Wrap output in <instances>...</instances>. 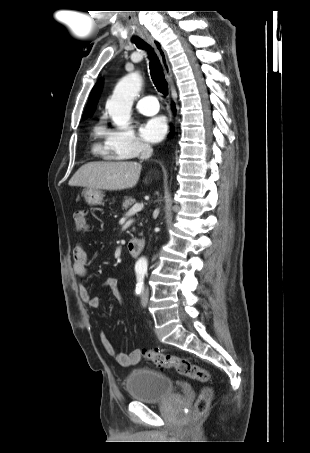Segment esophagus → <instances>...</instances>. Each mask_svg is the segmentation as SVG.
I'll return each instance as SVG.
<instances>
[{
    "instance_id": "34e87169",
    "label": "esophagus",
    "mask_w": 310,
    "mask_h": 453,
    "mask_svg": "<svg viewBox=\"0 0 310 453\" xmlns=\"http://www.w3.org/2000/svg\"><path fill=\"white\" fill-rule=\"evenodd\" d=\"M146 40L149 44H151L153 46L156 53L158 54L161 64L163 66L166 78L172 87L173 86V75H172L170 64L168 62L167 54H166L161 42L152 37H148V38H146Z\"/></svg>"
}]
</instances>
